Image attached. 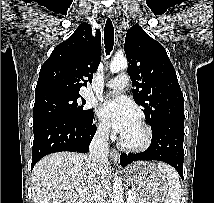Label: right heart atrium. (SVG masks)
I'll list each match as a JSON object with an SVG mask.
<instances>
[{
  "mask_svg": "<svg viewBox=\"0 0 214 203\" xmlns=\"http://www.w3.org/2000/svg\"><path fill=\"white\" fill-rule=\"evenodd\" d=\"M96 131L99 136L105 137L107 136L109 129L104 122H98L96 125Z\"/></svg>",
  "mask_w": 214,
  "mask_h": 203,
  "instance_id": "right-heart-atrium-1",
  "label": "right heart atrium"
}]
</instances>
